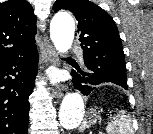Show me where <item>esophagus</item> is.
Segmentation results:
<instances>
[{"label":"esophagus","mask_w":153,"mask_h":134,"mask_svg":"<svg viewBox=\"0 0 153 134\" xmlns=\"http://www.w3.org/2000/svg\"><path fill=\"white\" fill-rule=\"evenodd\" d=\"M41 50L45 55V61L47 64L57 62L58 59H57L56 51L53 45L47 39V37H45L44 39V43H43V46L41 47ZM52 91L57 98H62L66 94L67 88L64 85H57L53 87Z\"/></svg>","instance_id":"34e87169"}]
</instances>
